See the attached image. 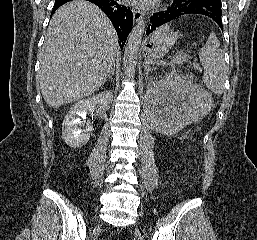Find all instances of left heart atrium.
Masks as SVG:
<instances>
[{"label": "left heart atrium", "instance_id": "left-heart-atrium-1", "mask_svg": "<svg viewBox=\"0 0 257 240\" xmlns=\"http://www.w3.org/2000/svg\"><path fill=\"white\" fill-rule=\"evenodd\" d=\"M128 3L139 7H150L156 3L157 0H126Z\"/></svg>", "mask_w": 257, "mask_h": 240}]
</instances>
